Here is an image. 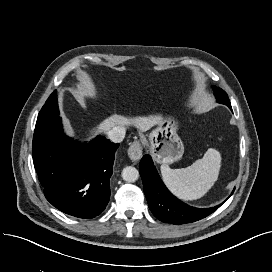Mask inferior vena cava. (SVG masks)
Instances as JSON below:
<instances>
[{
    "mask_svg": "<svg viewBox=\"0 0 272 272\" xmlns=\"http://www.w3.org/2000/svg\"><path fill=\"white\" fill-rule=\"evenodd\" d=\"M107 137L114 143L122 142L125 137V128L123 126H115L107 132Z\"/></svg>",
    "mask_w": 272,
    "mask_h": 272,
    "instance_id": "obj_1",
    "label": "inferior vena cava"
}]
</instances>
